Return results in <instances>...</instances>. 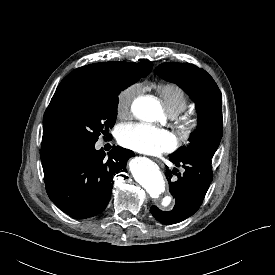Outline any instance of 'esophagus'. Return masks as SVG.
<instances>
[{"label":"esophagus","mask_w":275,"mask_h":275,"mask_svg":"<svg viewBox=\"0 0 275 275\" xmlns=\"http://www.w3.org/2000/svg\"><path fill=\"white\" fill-rule=\"evenodd\" d=\"M155 162H156L159 166H161V167L164 166L163 162H162L161 160H159V159H155Z\"/></svg>","instance_id":"34e87169"}]
</instances>
